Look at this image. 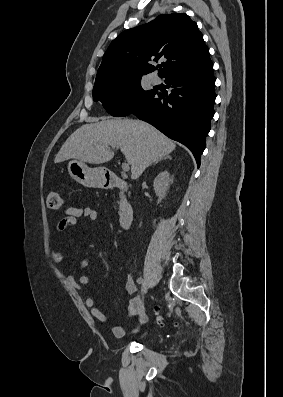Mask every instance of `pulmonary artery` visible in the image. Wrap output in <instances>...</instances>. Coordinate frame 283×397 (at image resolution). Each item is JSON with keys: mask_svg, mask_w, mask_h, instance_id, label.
Instances as JSON below:
<instances>
[{"mask_svg": "<svg viewBox=\"0 0 283 397\" xmlns=\"http://www.w3.org/2000/svg\"><path fill=\"white\" fill-rule=\"evenodd\" d=\"M153 84H159L161 82V79L158 76H154L151 79Z\"/></svg>", "mask_w": 283, "mask_h": 397, "instance_id": "e3ab8cb5", "label": "pulmonary artery"}]
</instances>
